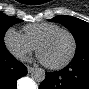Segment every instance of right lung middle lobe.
Returning a JSON list of instances; mask_svg holds the SVG:
<instances>
[{
    "instance_id": "dd1d6c3e",
    "label": "right lung middle lobe",
    "mask_w": 89,
    "mask_h": 89,
    "mask_svg": "<svg viewBox=\"0 0 89 89\" xmlns=\"http://www.w3.org/2000/svg\"><path fill=\"white\" fill-rule=\"evenodd\" d=\"M22 20L17 19L15 17H10L2 12H0V50L6 49L3 39L5 32L10 28L12 25L21 22Z\"/></svg>"
}]
</instances>
